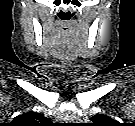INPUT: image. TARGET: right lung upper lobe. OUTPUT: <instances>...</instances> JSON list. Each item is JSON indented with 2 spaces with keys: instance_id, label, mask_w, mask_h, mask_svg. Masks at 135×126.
Segmentation results:
<instances>
[{
  "instance_id": "obj_1",
  "label": "right lung upper lobe",
  "mask_w": 135,
  "mask_h": 126,
  "mask_svg": "<svg viewBox=\"0 0 135 126\" xmlns=\"http://www.w3.org/2000/svg\"><path fill=\"white\" fill-rule=\"evenodd\" d=\"M43 117L41 116V114L38 113H34V112H30V113H26V114H22L20 116H17L14 121L15 122H20V121H35V120H40Z\"/></svg>"
}]
</instances>
